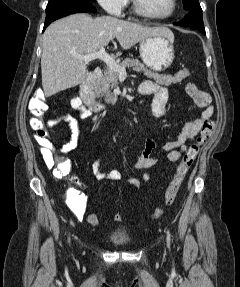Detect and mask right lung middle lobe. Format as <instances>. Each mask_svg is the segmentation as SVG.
Wrapping results in <instances>:
<instances>
[{
	"mask_svg": "<svg viewBox=\"0 0 240 287\" xmlns=\"http://www.w3.org/2000/svg\"><path fill=\"white\" fill-rule=\"evenodd\" d=\"M84 1H95V0H49L46 10L57 5L65 4V3H76V2H84Z\"/></svg>",
	"mask_w": 240,
	"mask_h": 287,
	"instance_id": "1",
	"label": "right lung middle lobe"
}]
</instances>
